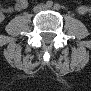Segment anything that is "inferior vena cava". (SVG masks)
Returning <instances> with one entry per match:
<instances>
[{
  "label": "inferior vena cava",
  "mask_w": 91,
  "mask_h": 91,
  "mask_svg": "<svg viewBox=\"0 0 91 91\" xmlns=\"http://www.w3.org/2000/svg\"><path fill=\"white\" fill-rule=\"evenodd\" d=\"M44 8H45V7H44ZM44 8H43V7H42V8L40 7V8H36L35 10H36V11H40V10H42V9H44Z\"/></svg>",
  "instance_id": "inferior-vena-cava-1"
}]
</instances>
